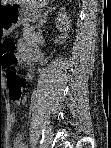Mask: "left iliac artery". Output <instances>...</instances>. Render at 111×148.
<instances>
[{
    "label": "left iliac artery",
    "mask_w": 111,
    "mask_h": 148,
    "mask_svg": "<svg viewBox=\"0 0 111 148\" xmlns=\"http://www.w3.org/2000/svg\"><path fill=\"white\" fill-rule=\"evenodd\" d=\"M42 132H43V136H44V130H42Z\"/></svg>",
    "instance_id": "44dca946"
}]
</instances>
